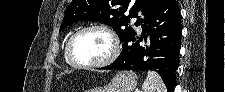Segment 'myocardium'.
Returning a JSON list of instances; mask_svg holds the SVG:
<instances>
[{"label": "myocardium", "mask_w": 225, "mask_h": 92, "mask_svg": "<svg viewBox=\"0 0 225 92\" xmlns=\"http://www.w3.org/2000/svg\"><path fill=\"white\" fill-rule=\"evenodd\" d=\"M89 30H99L104 32L110 39L111 42V53L107 58H105L102 61H99L97 63H81L77 61L73 55V45L76 39L84 32L89 31ZM66 52H67V57L71 65L82 68V69H97V68H102L105 66H108L112 64L118 57L120 53V45H119V40L115 32L108 26L102 25V24H91L87 25L85 27H82L78 31H76L68 40L67 47H66Z\"/></svg>", "instance_id": "1"}]
</instances>
